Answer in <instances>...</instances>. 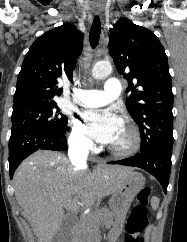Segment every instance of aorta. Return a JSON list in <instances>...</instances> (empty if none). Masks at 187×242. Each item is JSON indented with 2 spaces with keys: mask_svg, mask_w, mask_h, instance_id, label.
<instances>
[{
  "mask_svg": "<svg viewBox=\"0 0 187 242\" xmlns=\"http://www.w3.org/2000/svg\"><path fill=\"white\" fill-rule=\"evenodd\" d=\"M112 72V65L110 62H97L92 69V76L95 79H103L108 77Z\"/></svg>",
  "mask_w": 187,
  "mask_h": 242,
  "instance_id": "1",
  "label": "aorta"
}]
</instances>
